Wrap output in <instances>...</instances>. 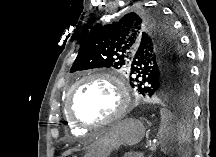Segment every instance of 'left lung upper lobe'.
<instances>
[{
    "label": "left lung upper lobe",
    "instance_id": "5c2ea615",
    "mask_svg": "<svg viewBox=\"0 0 216 157\" xmlns=\"http://www.w3.org/2000/svg\"><path fill=\"white\" fill-rule=\"evenodd\" d=\"M71 72L123 67L130 84L143 96H192L190 69L172 25L162 10L141 8L119 21L93 28L81 38Z\"/></svg>",
    "mask_w": 216,
    "mask_h": 157
}]
</instances>
